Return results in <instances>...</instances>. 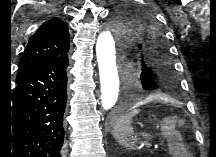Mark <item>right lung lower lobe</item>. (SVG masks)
Instances as JSON below:
<instances>
[{"label":"right lung lower lobe","instance_id":"1","mask_svg":"<svg viewBox=\"0 0 216 157\" xmlns=\"http://www.w3.org/2000/svg\"><path fill=\"white\" fill-rule=\"evenodd\" d=\"M68 65L66 55L17 79L3 154L63 157Z\"/></svg>","mask_w":216,"mask_h":157}]
</instances>
